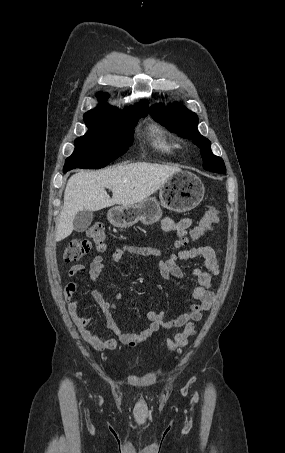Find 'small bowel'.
Segmentation results:
<instances>
[{
    "instance_id": "obj_1",
    "label": "small bowel",
    "mask_w": 285,
    "mask_h": 453,
    "mask_svg": "<svg viewBox=\"0 0 285 453\" xmlns=\"http://www.w3.org/2000/svg\"><path fill=\"white\" fill-rule=\"evenodd\" d=\"M193 222L192 218H183L176 221L170 217H165L162 221V228L166 232L175 233L181 242L189 243L188 229L192 226ZM218 253V249L208 244L180 251L166 259L161 258L158 251L147 247L123 246L116 249L112 254V259L115 262L120 261L125 254L158 256V268L160 275L164 280H169L170 278L180 279L184 277L185 272L178 264V260H188L196 257H202L204 260L202 267H193L190 269V274L194 278L191 294L195 302L189 306V310L172 319H167L164 311H151L147 315L149 320L148 326L138 332L125 331L122 325L119 324L113 316V311L117 307V301L122 299L121 293L116 294L114 301H109L104 293L96 288H94L91 293L93 299L105 316L107 328L112 331L116 338L105 337L97 332L91 331L89 328L91 319L78 313V301L73 299L78 291L77 282H69L66 284L63 290V296L67 303L69 313L81 337L91 347L98 351L116 350L120 345L134 347L150 338L160 329L170 330L179 328L189 324L191 321H199L201 319L203 312L207 311L214 301L212 278L213 276L218 275L220 270ZM103 269V257L96 256L93 258L90 266L74 265L68 270L67 274L69 277L88 275L90 281L95 284Z\"/></svg>"
}]
</instances>
